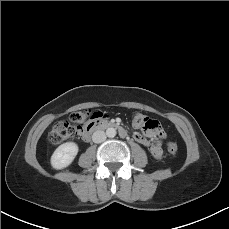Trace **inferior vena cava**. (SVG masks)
I'll return each mask as SVG.
<instances>
[{
    "mask_svg": "<svg viewBox=\"0 0 229 229\" xmlns=\"http://www.w3.org/2000/svg\"><path fill=\"white\" fill-rule=\"evenodd\" d=\"M92 140L94 143L104 142L106 140L105 132L101 130L95 131L92 135Z\"/></svg>",
    "mask_w": 229,
    "mask_h": 229,
    "instance_id": "obj_1",
    "label": "inferior vena cava"
}]
</instances>
